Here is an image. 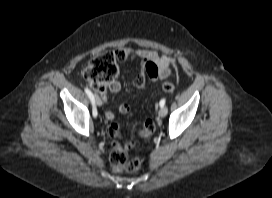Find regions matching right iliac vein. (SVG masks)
<instances>
[{
    "mask_svg": "<svg viewBox=\"0 0 272 198\" xmlns=\"http://www.w3.org/2000/svg\"><path fill=\"white\" fill-rule=\"evenodd\" d=\"M96 101H97V104H98V105H101V102H100V100H99L98 97H96Z\"/></svg>",
    "mask_w": 272,
    "mask_h": 198,
    "instance_id": "right-iliac-vein-1",
    "label": "right iliac vein"
}]
</instances>
